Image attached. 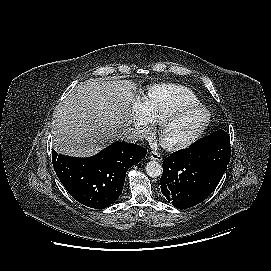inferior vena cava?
<instances>
[{
	"mask_svg": "<svg viewBox=\"0 0 271 271\" xmlns=\"http://www.w3.org/2000/svg\"><path fill=\"white\" fill-rule=\"evenodd\" d=\"M118 139L126 143H135L142 139L141 134L134 128H126L119 133Z\"/></svg>",
	"mask_w": 271,
	"mask_h": 271,
	"instance_id": "obj_1",
	"label": "inferior vena cava"
}]
</instances>
